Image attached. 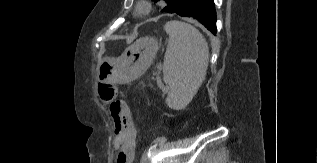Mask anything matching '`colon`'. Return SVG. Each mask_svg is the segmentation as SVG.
<instances>
[{"label": "colon", "mask_w": 317, "mask_h": 163, "mask_svg": "<svg viewBox=\"0 0 317 163\" xmlns=\"http://www.w3.org/2000/svg\"><path fill=\"white\" fill-rule=\"evenodd\" d=\"M99 95L102 101L111 103L110 110L113 115L123 113V103L115 101L117 89L112 84H103L99 88Z\"/></svg>", "instance_id": "colon-1"}]
</instances>
